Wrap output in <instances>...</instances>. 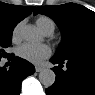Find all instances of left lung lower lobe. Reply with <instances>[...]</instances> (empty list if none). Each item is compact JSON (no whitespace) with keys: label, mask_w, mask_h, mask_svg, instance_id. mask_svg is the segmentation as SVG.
<instances>
[{"label":"left lung lower lobe","mask_w":95,"mask_h":95,"mask_svg":"<svg viewBox=\"0 0 95 95\" xmlns=\"http://www.w3.org/2000/svg\"><path fill=\"white\" fill-rule=\"evenodd\" d=\"M59 64L53 68L55 83L46 89L47 95H95V56L85 55L71 59L53 57ZM66 63V70L61 67Z\"/></svg>","instance_id":"left-lung-lower-lobe-1"}]
</instances>
